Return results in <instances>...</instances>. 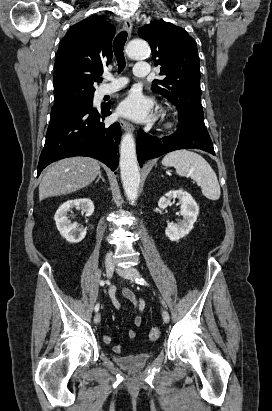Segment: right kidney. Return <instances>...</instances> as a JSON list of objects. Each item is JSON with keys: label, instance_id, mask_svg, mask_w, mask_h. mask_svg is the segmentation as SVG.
Segmentation results:
<instances>
[{"label": "right kidney", "instance_id": "obj_1", "mask_svg": "<svg viewBox=\"0 0 272 411\" xmlns=\"http://www.w3.org/2000/svg\"><path fill=\"white\" fill-rule=\"evenodd\" d=\"M73 207L81 209L82 213L89 217L94 212V204L89 198L68 200L55 213L56 226L62 237L70 243H78L85 238L86 229L68 219L67 212Z\"/></svg>", "mask_w": 272, "mask_h": 411}]
</instances>
